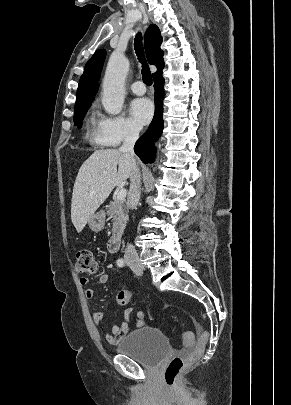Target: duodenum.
Masks as SVG:
<instances>
[{"mask_svg":"<svg viewBox=\"0 0 291 405\" xmlns=\"http://www.w3.org/2000/svg\"><path fill=\"white\" fill-rule=\"evenodd\" d=\"M121 234L116 233L108 240L107 249L110 252H117L121 245Z\"/></svg>","mask_w":291,"mask_h":405,"instance_id":"410a0bca","label":"duodenum"}]
</instances>
